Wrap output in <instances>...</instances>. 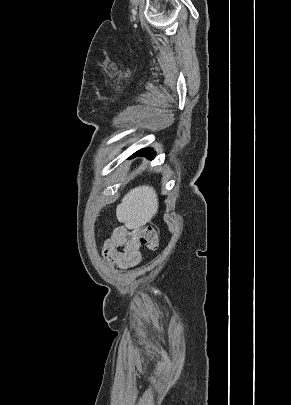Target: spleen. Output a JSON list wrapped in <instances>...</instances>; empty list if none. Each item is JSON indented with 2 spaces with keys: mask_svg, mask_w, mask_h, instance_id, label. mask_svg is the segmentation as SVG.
Here are the masks:
<instances>
[{
  "mask_svg": "<svg viewBox=\"0 0 291 405\" xmlns=\"http://www.w3.org/2000/svg\"><path fill=\"white\" fill-rule=\"evenodd\" d=\"M158 210V198L151 186L143 185L130 190L117 207L119 220L147 223Z\"/></svg>",
  "mask_w": 291,
  "mask_h": 405,
  "instance_id": "1",
  "label": "spleen"
}]
</instances>
